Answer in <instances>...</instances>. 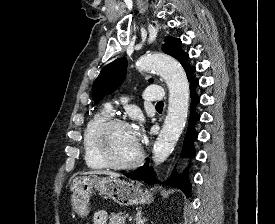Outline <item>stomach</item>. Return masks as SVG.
I'll return each instance as SVG.
<instances>
[{"label": "stomach", "instance_id": "obj_1", "mask_svg": "<svg viewBox=\"0 0 275 224\" xmlns=\"http://www.w3.org/2000/svg\"><path fill=\"white\" fill-rule=\"evenodd\" d=\"M94 190L123 206L143 204L150 198L149 192L139 185L118 178L76 177L71 183V202L74 211L81 217L89 213V198Z\"/></svg>", "mask_w": 275, "mask_h": 224}]
</instances>
